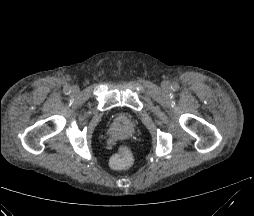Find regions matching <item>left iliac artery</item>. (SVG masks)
<instances>
[{
	"label": "left iliac artery",
	"mask_w": 254,
	"mask_h": 216,
	"mask_svg": "<svg viewBox=\"0 0 254 216\" xmlns=\"http://www.w3.org/2000/svg\"><path fill=\"white\" fill-rule=\"evenodd\" d=\"M174 91L179 89V85L177 83H173L172 87H171Z\"/></svg>",
	"instance_id": "44dca946"
}]
</instances>
